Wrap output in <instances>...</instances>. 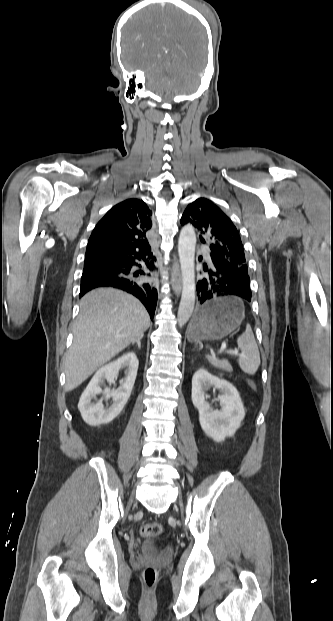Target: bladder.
I'll return each mask as SVG.
<instances>
[{
	"mask_svg": "<svg viewBox=\"0 0 333 621\" xmlns=\"http://www.w3.org/2000/svg\"><path fill=\"white\" fill-rule=\"evenodd\" d=\"M144 549H145V550H148V547H147V546H145V548H144Z\"/></svg>",
	"mask_w": 333,
	"mask_h": 621,
	"instance_id": "bladder-1",
	"label": "bladder"
}]
</instances>
